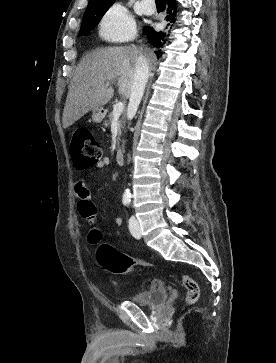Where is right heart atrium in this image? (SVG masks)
<instances>
[{
	"label": "right heart atrium",
	"mask_w": 276,
	"mask_h": 363,
	"mask_svg": "<svg viewBox=\"0 0 276 363\" xmlns=\"http://www.w3.org/2000/svg\"><path fill=\"white\" fill-rule=\"evenodd\" d=\"M99 32L107 40H129L135 32L133 18L123 5L114 4L101 19Z\"/></svg>",
	"instance_id": "1"
}]
</instances>
